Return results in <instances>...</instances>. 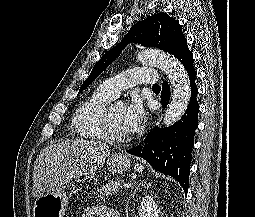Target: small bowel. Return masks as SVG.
Returning a JSON list of instances; mask_svg holds the SVG:
<instances>
[{
	"label": "small bowel",
	"instance_id": "c3829d8e",
	"mask_svg": "<svg viewBox=\"0 0 255 217\" xmlns=\"http://www.w3.org/2000/svg\"><path fill=\"white\" fill-rule=\"evenodd\" d=\"M81 217H119V215L105 206H89L84 209Z\"/></svg>",
	"mask_w": 255,
	"mask_h": 217
}]
</instances>
